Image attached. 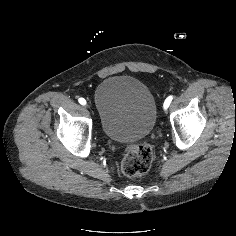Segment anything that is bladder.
Instances as JSON below:
<instances>
[{
  "instance_id": "bladder-1",
  "label": "bladder",
  "mask_w": 236,
  "mask_h": 236,
  "mask_svg": "<svg viewBox=\"0 0 236 236\" xmlns=\"http://www.w3.org/2000/svg\"><path fill=\"white\" fill-rule=\"evenodd\" d=\"M94 102L101 130L112 141L133 143L148 136L154 127L155 98L136 78L105 79L95 92Z\"/></svg>"
}]
</instances>
